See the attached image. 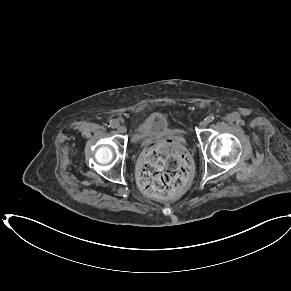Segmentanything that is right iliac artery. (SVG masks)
Masks as SVG:
<instances>
[{
  "label": "right iliac artery",
  "mask_w": 291,
  "mask_h": 291,
  "mask_svg": "<svg viewBox=\"0 0 291 291\" xmlns=\"http://www.w3.org/2000/svg\"><path fill=\"white\" fill-rule=\"evenodd\" d=\"M119 126V122L117 120H111L109 127L111 128H117Z\"/></svg>",
  "instance_id": "obj_1"
}]
</instances>
